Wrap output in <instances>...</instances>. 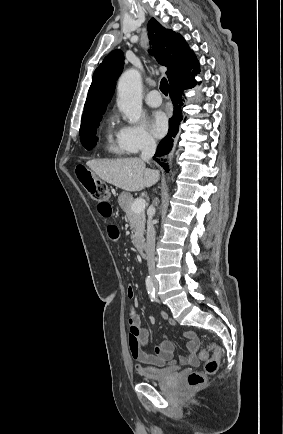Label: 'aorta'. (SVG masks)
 I'll list each match as a JSON object with an SVG mask.
<instances>
[{
    "label": "aorta",
    "mask_w": 283,
    "mask_h": 434,
    "mask_svg": "<svg viewBox=\"0 0 283 434\" xmlns=\"http://www.w3.org/2000/svg\"><path fill=\"white\" fill-rule=\"evenodd\" d=\"M117 105L130 123L139 121L142 112V83L136 69L124 72L118 82Z\"/></svg>",
    "instance_id": "1"
}]
</instances>
